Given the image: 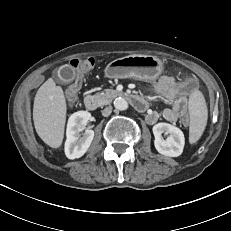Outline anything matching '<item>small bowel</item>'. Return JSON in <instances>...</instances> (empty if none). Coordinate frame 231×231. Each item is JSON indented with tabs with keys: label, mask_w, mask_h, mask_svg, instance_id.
I'll return each instance as SVG.
<instances>
[{
	"label": "small bowel",
	"mask_w": 231,
	"mask_h": 231,
	"mask_svg": "<svg viewBox=\"0 0 231 231\" xmlns=\"http://www.w3.org/2000/svg\"><path fill=\"white\" fill-rule=\"evenodd\" d=\"M155 90L158 98L170 107L165 108L161 113L148 110L146 121L148 124L156 123L160 118L170 123H175L187 117L188 98L183 95L181 84L173 77L163 76L156 83Z\"/></svg>",
	"instance_id": "c3829d8e"
}]
</instances>
